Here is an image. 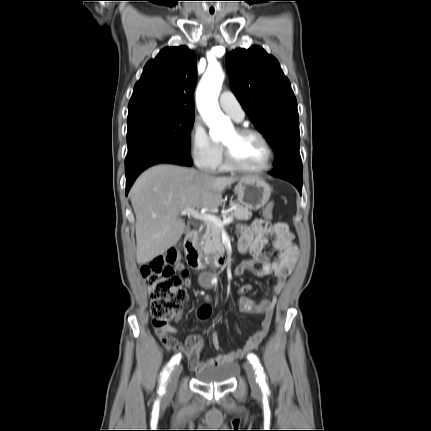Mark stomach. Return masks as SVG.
<instances>
[{"instance_id":"0dacf381","label":"stomach","mask_w":431,"mask_h":431,"mask_svg":"<svg viewBox=\"0 0 431 431\" xmlns=\"http://www.w3.org/2000/svg\"><path fill=\"white\" fill-rule=\"evenodd\" d=\"M239 203L250 210H259L269 200L271 188L256 176L243 177L235 186Z\"/></svg>"}]
</instances>
